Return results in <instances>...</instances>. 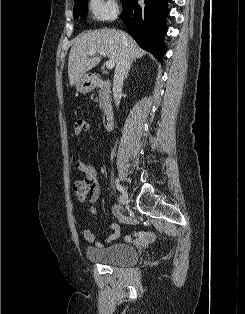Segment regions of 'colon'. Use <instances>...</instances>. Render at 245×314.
<instances>
[{
    "instance_id": "obj_1",
    "label": "colon",
    "mask_w": 245,
    "mask_h": 314,
    "mask_svg": "<svg viewBox=\"0 0 245 314\" xmlns=\"http://www.w3.org/2000/svg\"><path fill=\"white\" fill-rule=\"evenodd\" d=\"M73 192L80 201H85L90 198L91 184L88 179L75 181L73 184Z\"/></svg>"
}]
</instances>
